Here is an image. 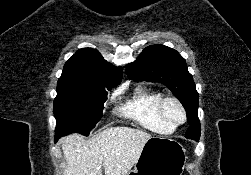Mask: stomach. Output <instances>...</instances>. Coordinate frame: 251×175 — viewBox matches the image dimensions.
I'll return each instance as SVG.
<instances>
[{
  "instance_id": "obj_1",
  "label": "stomach",
  "mask_w": 251,
  "mask_h": 175,
  "mask_svg": "<svg viewBox=\"0 0 251 175\" xmlns=\"http://www.w3.org/2000/svg\"><path fill=\"white\" fill-rule=\"evenodd\" d=\"M186 149L168 135H151L128 175H182Z\"/></svg>"
}]
</instances>
